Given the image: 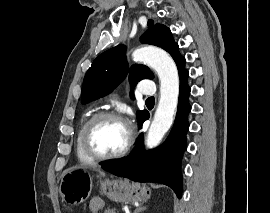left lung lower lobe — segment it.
I'll return each instance as SVG.
<instances>
[{"label": "left lung lower lobe", "mask_w": 270, "mask_h": 213, "mask_svg": "<svg viewBox=\"0 0 270 213\" xmlns=\"http://www.w3.org/2000/svg\"><path fill=\"white\" fill-rule=\"evenodd\" d=\"M180 92L177 115L173 128L166 141L158 148L145 151L143 135L137 138L134 151L127 157L116 159L102 165V168L116 176L125 177L136 182H157L171 187L178 198L182 195V176L180 163L186 148L188 131V113L191 106L188 102L190 88L187 83L188 71L179 73ZM149 118L147 114L140 125Z\"/></svg>", "instance_id": "1"}]
</instances>
